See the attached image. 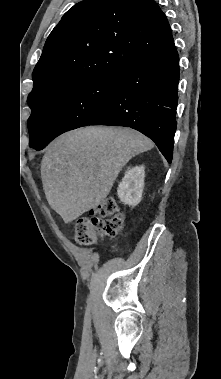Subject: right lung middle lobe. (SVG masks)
<instances>
[{"label": "right lung middle lobe", "instance_id": "right-lung-middle-lobe-1", "mask_svg": "<svg viewBox=\"0 0 221 379\" xmlns=\"http://www.w3.org/2000/svg\"><path fill=\"white\" fill-rule=\"evenodd\" d=\"M119 73L83 78L29 101V146L41 150L61 133L92 122L112 100Z\"/></svg>", "mask_w": 221, "mask_h": 379}]
</instances>
